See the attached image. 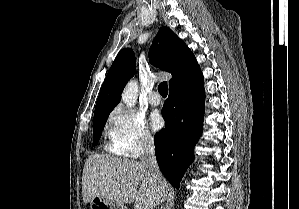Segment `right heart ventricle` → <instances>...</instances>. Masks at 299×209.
Here are the masks:
<instances>
[{
	"label": "right heart ventricle",
	"instance_id": "e07e8e85",
	"mask_svg": "<svg viewBox=\"0 0 299 209\" xmlns=\"http://www.w3.org/2000/svg\"><path fill=\"white\" fill-rule=\"evenodd\" d=\"M109 148H110V150H113V151H115L113 147H112V148H111V147H109ZM115 152H116V151H115Z\"/></svg>",
	"mask_w": 299,
	"mask_h": 209
}]
</instances>
